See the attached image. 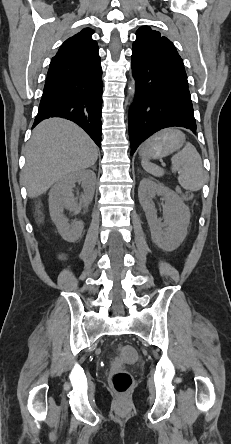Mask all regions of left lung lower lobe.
I'll return each mask as SVG.
<instances>
[{"label":"left lung lower lobe","mask_w":231,"mask_h":444,"mask_svg":"<svg viewBox=\"0 0 231 444\" xmlns=\"http://www.w3.org/2000/svg\"><path fill=\"white\" fill-rule=\"evenodd\" d=\"M136 82L129 113L131 154L146 138L167 127L196 131L187 75L170 63L132 54Z\"/></svg>","instance_id":"0a47b994"}]
</instances>
